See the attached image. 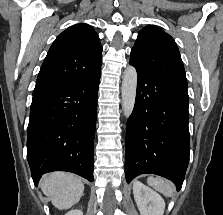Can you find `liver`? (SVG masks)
I'll list each match as a JSON object with an SVG mask.
<instances>
[{"instance_id": "1", "label": "liver", "mask_w": 223, "mask_h": 215, "mask_svg": "<svg viewBox=\"0 0 223 215\" xmlns=\"http://www.w3.org/2000/svg\"><path fill=\"white\" fill-rule=\"evenodd\" d=\"M40 187L45 195H50L53 205L58 209L72 207L84 191V183L80 177L67 171L47 173L42 177Z\"/></svg>"}]
</instances>
